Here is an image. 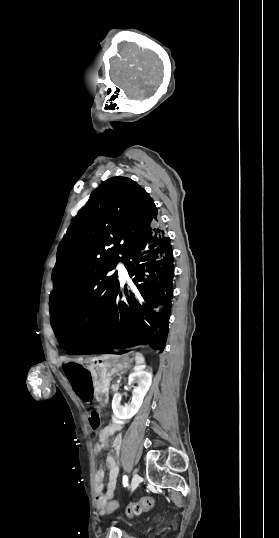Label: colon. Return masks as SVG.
<instances>
[{"label": "colon", "mask_w": 279, "mask_h": 538, "mask_svg": "<svg viewBox=\"0 0 279 538\" xmlns=\"http://www.w3.org/2000/svg\"><path fill=\"white\" fill-rule=\"evenodd\" d=\"M153 505L154 499L152 497H145L137 502L131 503L127 507L126 512L129 516L140 515L143 512L149 510ZM99 509L104 513L114 512L119 509V504L116 502H109L106 506H103Z\"/></svg>", "instance_id": "colon-1"}]
</instances>
